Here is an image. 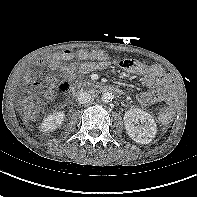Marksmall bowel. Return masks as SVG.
Masks as SVG:
<instances>
[{"mask_svg":"<svg viewBox=\"0 0 197 197\" xmlns=\"http://www.w3.org/2000/svg\"><path fill=\"white\" fill-rule=\"evenodd\" d=\"M62 59H64L62 57ZM72 59V58H71ZM71 59H64L69 61ZM130 62L131 66L123 67V61ZM119 60L113 59V63L121 65L125 70L131 73H135L141 77L142 84L148 88V90L141 92L138 95V102L142 106H151L155 103L169 101L173 99V86L170 75L164 72L163 68L158 64L146 65L138 60L126 59ZM38 66H47L51 71H58L60 77L69 80L73 77L75 71L81 73H89L90 71L103 69L106 67V61H83L81 63H69L65 64L60 61L58 55L51 57H45L37 60ZM57 81V77L48 76L46 82L53 86ZM37 86L38 83H33Z\"/></svg>","mask_w":197,"mask_h":197,"instance_id":"small-bowel-1","label":"small bowel"}]
</instances>
